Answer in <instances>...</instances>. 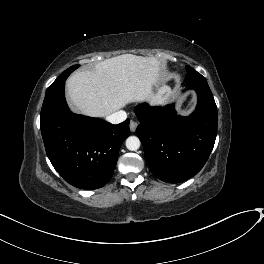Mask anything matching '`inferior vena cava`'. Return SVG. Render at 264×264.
I'll return each instance as SVG.
<instances>
[{
	"instance_id": "obj_1",
	"label": "inferior vena cava",
	"mask_w": 264,
	"mask_h": 264,
	"mask_svg": "<svg viewBox=\"0 0 264 264\" xmlns=\"http://www.w3.org/2000/svg\"><path fill=\"white\" fill-rule=\"evenodd\" d=\"M127 118V114L123 110L116 111L107 116L106 120L112 124H119L125 121Z\"/></svg>"
}]
</instances>
